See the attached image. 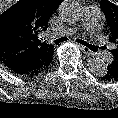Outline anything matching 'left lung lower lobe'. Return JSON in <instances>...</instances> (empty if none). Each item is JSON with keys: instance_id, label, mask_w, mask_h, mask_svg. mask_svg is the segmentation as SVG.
<instances>
[{"instance_id": "0a47b994", "label": "left lung lower lobe", "mask_w": 118, "mask_h": 118, "mask_svg": "<svg viewBox=\"0 0 118 118\" xmlns=\"http://www.w3.org/2000/svg\"><path fill=\"white\" fill-rule=\"evenodd\" d=\"M101 78L105 81H118V78H114L109 72H105L102 75H100Z\"/></svg>"}]
</instances>
